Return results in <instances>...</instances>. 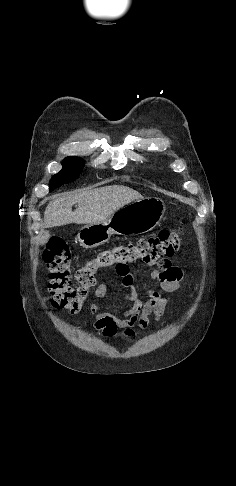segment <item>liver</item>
<instances>
[{
  "mask_svg": "<svg viewBox=\"0 0 236 486\" xmlns=\"http://www.w3.org/2000/svg\"><path fill=\"white\" fill-rule=\"evenodd\" d=\"M142 198L139 192L119 185L67 193L47 205L44 226L50 228L70 223H100L126 204ZM76 203L78 207L72 211Z\"/></svg>",
  "mask_w": 236,
  "mask_h": 486,
  "instance_id": "1",
  "label": "liver"
}]
</instances>
